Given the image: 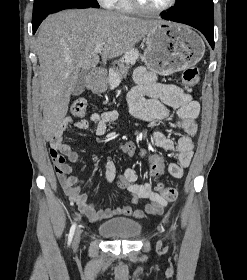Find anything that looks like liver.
<instances>
[{"label": "liver", "mask_w": 247, "mask_h": 280, "mask_svg": "<svg viewBox=\"0 0 247 280\" xmlns=\"http://www.w3.org/2000/svg\"><path fill=\"white\" fill-rule=\"evenodd\" d=\"M161 20L140 19L101 9H72L53 14L41 24L36 50L40 63V106L47 140L60 128L80 70L131 50Z\"/></svg>", "instance_id": "1"}]
</instances>
